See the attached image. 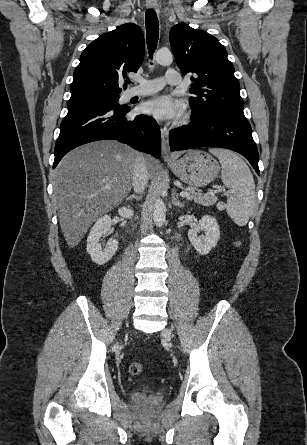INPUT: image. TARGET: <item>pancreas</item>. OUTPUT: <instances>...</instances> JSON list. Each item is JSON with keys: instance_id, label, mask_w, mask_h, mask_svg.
<instances>
[{"instance_id": "obj_1", "label": "pancreas", "mask_w": 307, "mask_h": 445, "mask_svg": "<svg viewBox=\"0 0 307 445\" xmlns=\"http://www.w3.org/2000/svg\"><path fill=\"white\" fill-rule=\"evenodd\" d=\"M185 192H190V200H194V202H198V204H203V206H211V204H215L218 200V196L215 194H207V192H202L196 186H186Z\"/></svg>"}]
</instances>
